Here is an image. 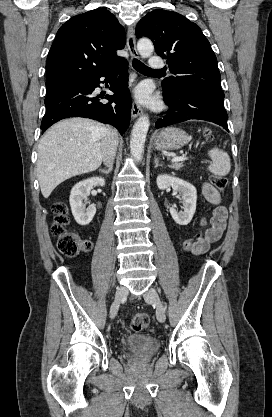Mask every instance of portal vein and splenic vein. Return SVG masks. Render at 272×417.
Masks as SVG:
<instances>
[{
  "mask_svg": "<svg viewBox=\"0 0 272 417\" xmlns=\"http://www.w3.org/2000/svg\"><path fill=\"white\" fill-rule=\"evenodd\" d=\"M187 159H188V157H186V155L175 156V157H173L172 162L185 161Z\"/></svg>",
  "mask_w": 272,
  "mask_h": 417,
  "instance_id": "18ae733b",
  "label": "portal vein and splenic vein"
}]
</instances>
